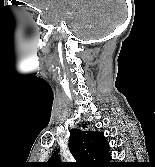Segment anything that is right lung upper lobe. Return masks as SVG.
I'll return each mask as SVG.
<instances>
[{"label": "right lung upper lobe", "mask_w": 155, "mask_h": 167, "mask_svg": "<svg viewBox=\"0 0 155 167\" xmlns=\"http://www.w3.org/2000/svg\"><path fill=\"white\" fill-rule=\"evenodd\" d=\"M68 146L75 163L61 162L60 156L54 153L44 167H109L113 164L104 135L85 124L70 131Z\"/></svg>", "instance_id": "cb5924a9"}]
</instances>
